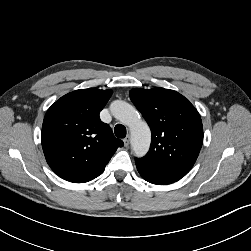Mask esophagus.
Listing matches in <instances>:
<instances>
[{
  "mask_svg": "<svg viewBox=\"0 0 251 251\" xmlns=\"http://www.w3.org/2000/svg\"><path fill=\"white\" fill-rule=\"evenodd\" d=\"M123 142H124L125 147H128L129 144H130V138H129V136H127V137L123 140Z\"/></svg>",
  "mask_w": 251,
  "mask_h": 251,
  "instance_id": "34e87169",
  "label": "esophagus"
}]
</instances>
